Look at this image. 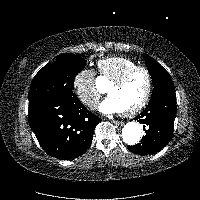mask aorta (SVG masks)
Returning a JSON list of instances; mask_svg holds the SVG:
<instances>
[{
  "mask_svg": "<svg viewBox=\"0 0 200 200\" xmlns=\"http://www.w3.org/2000/svg\"><path fill=\"white\" fill-rule=\"evenodd\" d=\"M141 137V127L136 122H128L122 129L123 141L128 145H135Z\"/></svg>",
  "mask_w": 200,
  "mask_h": 200,
  "instance_id": "1",
  "label": "aorta"
}]
</instances>
